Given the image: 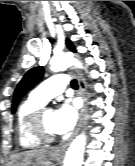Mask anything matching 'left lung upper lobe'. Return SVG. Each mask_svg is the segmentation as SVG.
<instances>
[{
    "mask_svg": "<svg viewBox=\"0 0 135 166\" xmlns=\"http://www.w3.org/2000/svg\"><path fill=\"white\" fill-rule=\"evenodd\" d=\"M68 48L75 52V48L72 45L71 41H66ZM44 74L43 67H34L30 69L22 78V80L19 82L13 97V103H12V112L14 113L16 110V107L20 101V99L23 97V95L30 90L35 84H37L42 76Z\"/></svg>",
    "mask_w": 135,
    "mask_h": 166,
    "instance_id": "obj_1",
    "label": "left lung upper lobe"
}]
</instances>
